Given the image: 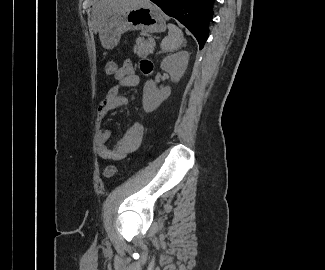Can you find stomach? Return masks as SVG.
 Instances as JSON below:
<instances>
[{
  "label": "stomach",
  "instance_id": "1",
  "mask_svg": "<svg viewBox=\"0 0 325 270\" xmlns=\"http://www.w3.org/2000/svg\"><path fill=\"white\" fill-rule=\"evenodd\" d=\"M129 30L160 33L166 30V22L158 7L151 3L128 7L106 19L99 32L102 46L113 49L118 45L121 35Z\"/></svg>",
  "mask_w": 325,
  "mask_h": 270
}]
</instances>
